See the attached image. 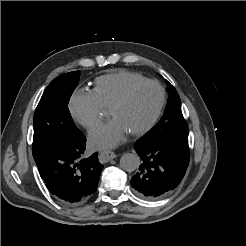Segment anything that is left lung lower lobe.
Instances as JSON below:
<instances>
[{"label": "left lung lower lobe", "mask_w": 246, "mask_h": 246, "mask_svg": "<svg viewBox=\"0 0 246 246\" xmlns=\"http://www.w3.org/2000/svg\"><path fill=\"white\" fill-rule=\"evenodd\" d=\"M134 149L142 161L131 185L141 197L161 198L178 186L189 164L188 135H169L154 140L143 136Z\"/></svg>", "instance_id": "0a47b994"}]
</instances>
